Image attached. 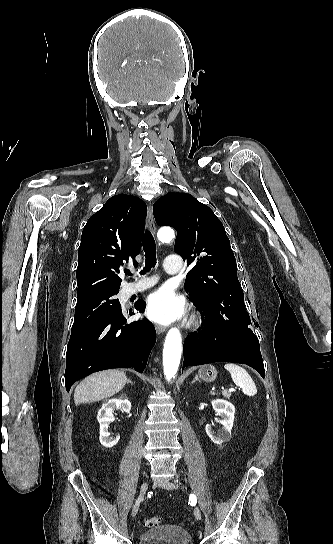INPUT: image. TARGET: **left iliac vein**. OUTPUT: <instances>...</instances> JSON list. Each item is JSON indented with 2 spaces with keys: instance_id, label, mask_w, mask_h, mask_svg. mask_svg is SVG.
<instances>
[{
  "instance_id": "4c4485c4",
  "label": "left iliac vein",
  "mask_w": 333,
  "mask_h": 544,
  "mask_svg": "<svg viewBox=\"0 0 333 544\" xmlns=\"http://www.w3.org/2000/svg\"><path fill=\"white\" fill-rule=\"evenodd\" d=\"M155 484L167 490H172L176 488L175 485L168 480H157L155 481ZM194 516L197 520L201 519V512L197 507L194 509Z\"/></svg>"
}]
</instances>
